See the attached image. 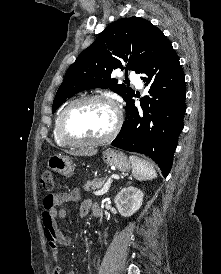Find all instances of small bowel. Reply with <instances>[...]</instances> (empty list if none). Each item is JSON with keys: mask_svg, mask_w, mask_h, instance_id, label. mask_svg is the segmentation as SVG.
Masks as SVG:
<instances>
[{"mask_svg": "<svg viewBox=\"0 0 221 274\" xmlns=\"http://www.w3.org/2000/svg\"><path fill=\"white\" fill-rule=\"evenodd\" d=\"M79 197V191L75 190L70 193L63 192L48 195L43 201L42 222L45 238L55 262L53 274L62 273V266L59 262V251L61 247L68 246L71 242L70 237L60 229L58 224L59 219H62L66 216L67 210L65 207H62L58 210V207L75 201ZM95 206L99 205L97 203H92L90 200L84 201L80 207V217L86 216L90 210L93 212V208ZM67 274L76 273L74 271H70Z\"/></svg>", "mask_w": 221, "mask_h": 274, "instance_id": "c3829d8e", "label": "small bowel"}]
</instances>
